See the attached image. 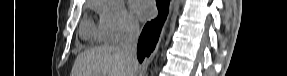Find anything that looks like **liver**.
I'll use <instances>...</instances> for the list:
<instances>
[{"label": "liver", "instance_id": "6515ba94", "mask_svg": "<svg viewBox=\"0 0 287 76\" xmlns=\"http://www.w3.org/2000/svg\"><path fill=\"white\" fill-rule=\"evenodd\" d=\"M137 71V69H136ZM133 66L118 46H102L77 56L73 76H135Z\"/></svg>", "mask_w": 287, "mask_h": 76}]
</instances>
